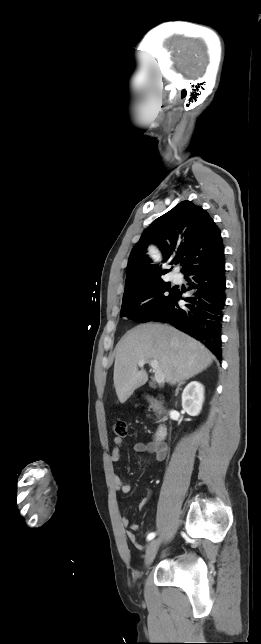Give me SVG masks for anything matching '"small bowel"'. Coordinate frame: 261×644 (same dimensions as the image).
Returning a JSON list of instances; mask_svg holds the SVG:
<instances>
[{"mask_svg": "<svg viewBox=\"0 0 261 644\" xmlns=\"http://www.w3.org/2000/svg\"><path fill=\"white\" fill-rule=\"evenodd\" d=\"M122 444H123V441L121 438L116 437L114 439V448L112 449L110 454V460L112 462H117L120 460ZM133 450L134 452L140 453V454H152L155 456L157 461H163L167 454V448L165 445L157 444L153 442H149V443L137 442L133 445ZM113 483L116 490L123 494H129L132 490L131 485L128 482H125L118 474L113 475ZM150 499H151V492H149L148 495L139 503V509L140 510L144 509L150 502ZM121 524L123 527L127 529L125 531V537L130 542H132L137 549L141 550L143 546L137 542L136 536L134 534L136 531H138L139 525L136 523H130L129 519L125 516L121 518Z\"/></svg>", "mask_w": 261, "mask_h": 644, "instance_id": "obj_1", "label": "small bowel"}]
</instances>
